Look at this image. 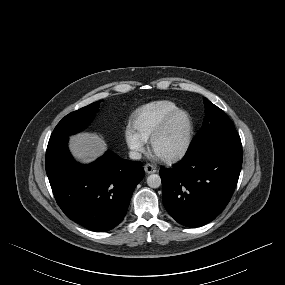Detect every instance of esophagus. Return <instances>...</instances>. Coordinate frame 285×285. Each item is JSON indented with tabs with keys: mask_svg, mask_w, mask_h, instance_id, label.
I'll list each match as a JSON object with an SVG mask.
<instances>
[{
	"mask_svg": "<svg viewBox=\"0 0 285 285\" xmlns=\"http://www.w3.org/2000/svg\"><path fill=\"white\" fill-rule=\"evenodd\" d=\"M144 170L147 174H153L157 171V168L154 165L148 163L144 166Z\"/></svg>",
	"mask_w": 285,
	"mask_h": 285,
	"instance_id": "34e87169",
	"label": "esophagus"
}]
</instances>
